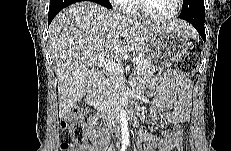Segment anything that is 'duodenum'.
<instances>
[{
	"mask_svg": "<svg viewBox=\"0 0 231 151\" xmlns=\"http://www.w3.org/2000/svg\"><path fill=\"white\" fill-rule=\"evenodd\" d=\"M97 89H98V84L97 83H95V84H93L91 86L90 95L86 99V101H87V103L89 105H92L93 99H94V97H95V95L97 93ZM123 111H126V112L130 113L131 115H133L135 113V108L132 105L131 97L128 94H124L120 98V100L118 101L116 110L114 112L104 111L101 114L96 115V117L98 119H102V120L106 121L108 123V125H111L112 120L114 118H119ZM109 138H110V135H108V134H106L104 136L105 145H106V142L109 140Z\"/></svg>",
	"mask_w": 231,
	"mask_h": 151,
	"instance_id": "1",
	"label": "duodenum"
}]
</instances>
